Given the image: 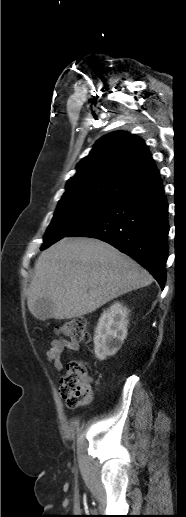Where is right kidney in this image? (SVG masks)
<instances>
[{"label":"right kidney","mask_w":186,"mask_h":517,"mask_svg":"<svg viewBox=\"0 0 186 517\" xmlns=\"http://www.w3.org/2000/svg\"><path fill=\"white\" fill-rule=\"evenodd\" d=\"M128 309L115 302L103 312L95 329L94 351L100 361L121 348L127 336Z\"/></svg>","instance_id":"ca27d5eb"}]
</instances>
